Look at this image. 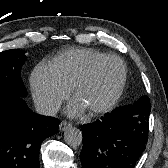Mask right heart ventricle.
<instances>
[{
    "instance_id": "1",
    "label": "right heart ventricle",
    "mask_w": 168,
    "mask_h": 168,
    "mask_svg": "<svg viewBox=\"0 0 168 168\" xmlns=\"http://www.w3.org/2000/svg\"><path fill=\"white\" fill-rule=\"evenodd\" d=\"M104 55L93 49H70L59 53L51 65L62 82L71 89L88 67Z\"/></svg>"
}]
</instances>
